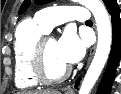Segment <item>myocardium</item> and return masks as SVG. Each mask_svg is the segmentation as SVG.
<instances>
[{"label": "myocardium", "instance_id": "obj_1", "mask_svg": "<svg viewBox=\"0 0 121 94\" xmlns=\"http://www.w3.org/2000/svg\"><path fill=\"white\" fill-rule=\"evenodd\" d=\"M49 37H41L35 44L32 55V71L35 78L42 84L53 85L65 80L71 72V67L65 68L59 75L50 76L45 64V43Z\"/></svg>", "mask_w": 121, "mask_h": 94}]
</instances>
